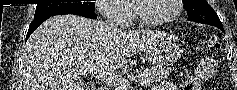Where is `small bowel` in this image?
Instances as JSON below:
<instances>
[{
    "instance_id": "c3829d8e",
    "label": "small bowel",
    "mask_w": 237,
    "mask_h": 90,
    "mask_svg": "<svg viewBox=\"0 0 237 90\" xmlns=\"http://www.w3.org/2000/svg\"><path fill=\"white\" fill-rule=\"evenodd\" d=\"M215 72L214 65L210 62H203L196 72L180 84L167 81L159 83L154 90H201L204 81L210 79Z\"/></svg>"
}]
</instances>
